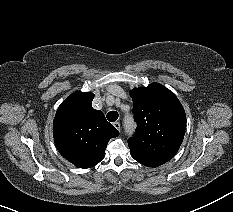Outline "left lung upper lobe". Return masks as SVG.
Wrapping results in <instances>:
<instances>
[{
	"mask_svg": "<svg viewBox=\"0 0 233 212\" xmlns=\"http://www.w3.org/2000/svg\"><path fill=\"white\" fill-rule=\"evenodd\" d=\"M136 132L129 138L131 156L148 167L169 161L178 151L186 130L185 111L166 87L152 83L130 91Z\"/></svg>",
	"mask_w": 233,
	"mask_h": 212,
	"instance_id": "1",
	"label": "left lung upper lobe"
}]
</instances>
